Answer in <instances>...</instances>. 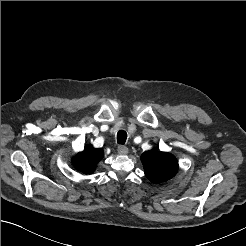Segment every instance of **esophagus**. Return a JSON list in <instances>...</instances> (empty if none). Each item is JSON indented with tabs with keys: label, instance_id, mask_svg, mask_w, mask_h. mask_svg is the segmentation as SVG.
Returning a JSON list of instances; mask_svg holds the SVG:
<instances>
[{
	"label": "esophagus",
	"instance_id": "34e87169",
	"mask_svg": "<svg viewBox=\"0 0 246 246\" xmlns=\"http://www.w3.org/2000/svg\"><path fill=\"white\" fill-rule=\"evenodd\" d=\"M117 150H118V153L121 155H126L128 153V148L124 145H119Z\"/></svg>",
	"mask_w": 246,
	"mask_h": 246
}]
</instances>
